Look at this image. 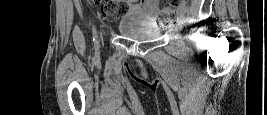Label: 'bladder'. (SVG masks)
<instances>
[{"label": "bladder", "mask_w": 267, "mask_h": 115, "mask_svg": "<svg viewBox=\"0 0 267 115\" xmlns=\"http://www.w3.org/2000/svg\"><path fill=\"white\" fill-rule=\"evenodd\" d=\"M119 32L128 38L136 40H149L160 36L159 27L152 24H120Z\"/></svg>", "instance_id": "obj_1"}]
</instances>
